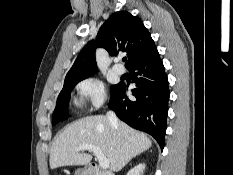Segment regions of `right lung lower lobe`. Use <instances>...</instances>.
Here are the masks:
<instances>
[{"mask_svg":"<svg viewBox=\"0 0 233 175\" xmlns=\"http://www.w3.org/2000/svg\"><path fill=\"white\" fill-rule=\"evenodd\" d=\"M128 70L136 83L132 90L135 99H129L125 95L127 86L119 83L108 106L131 127L152 135L163 149L170 92L158 51Z\"/></svg>","mask_w":233,"mask_h":175,"instance_id":"right-lung-lower-lobe-1","label":"right lung lower lobe"}]
</instances>
